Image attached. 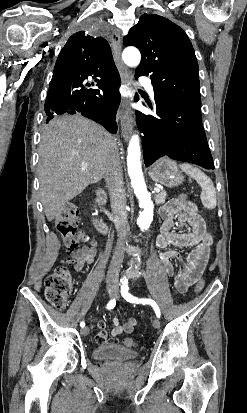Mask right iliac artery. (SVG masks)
Segmentation results:
<instances>
[{
  "label": "right iliac artery",
  "mask_w": 247,
  "mask_h": 413,
  "mask_svg": "<svg viewBox=\"0 0 247 413\" xmlns=\"http://www.w3.org/2000/svg\"><path fill=\"white\" fill-rule=\"evenodd\" d=\"M115 305H116V300H115V298H113L107 304V309H113L115 307ZM80 326L83 328L85 326V323L82 321L80 323Z\"/></svg>",
  "instance_id": "82829eb1"
}]
</instances>
